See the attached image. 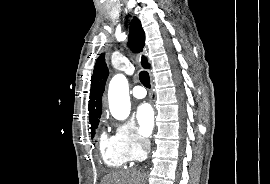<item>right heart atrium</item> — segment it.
Masks as SVG:
<instances>
[{
  "label": "right heart atrium",
  "instance_id": "1",
  "mask_svg": "<svg viewBox=\"0 0 270 184\" xmlns=\"http://www.w3.org/2000/svg\"><path fill=\"white\" fill-rule=\"evenodd\" d=\"M114 136L121 150L130 161H136L144 157L149 142L132 123H118Z\"/></svg>",
  "mask_w": 270,
  "mask_h": 184
}]
</instances>
